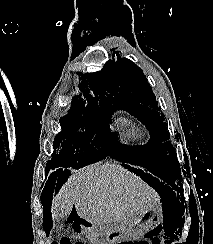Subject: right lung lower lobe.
<instances>
[{
    "mask_svg": "<svg viewBox=\"0 0 213 244\" xmlns=\"http://www.w3.org/2000/svg\"><path fill=\"white\" fill-rule=\"evenodd\" d=\"M62 169L61 168H58L56 170H54L51 174H50V178L48 179L47 183H46V186H45V189L42 193V197H41V201H42V204H43V207H44V212H45V202H44V199H45V196H46V193L47 195H50V193L53 191V188H54V185L56 183V178H57V175L60 173ZM48 171V170H47ZM63 176L62 174L59 175L58 177V180H57V184H56V188L58 187V185H60L61 181L63 180Z\"/></svg>",
    "mask_w": 213,
    "mask_h": 244,
    "instance_id": "1",
    "label": "right lung lower lobe"
}]
</instances>
